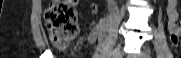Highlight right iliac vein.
Masks as SVG:
<instances>
[{
  "mask_svg": "<svg viewBox=\"0 0 181 58\" xmlns=\"http://www.w3.org/2000/svg\"><path fill=\"white\" fill-rule=\"evenodd\" d=\"M122 56L121 45H117L113 51V58H120Z\"/></svg>",
  "mask_w": 181,
  "mask_h": 58,
  "instance_id": "right-iliac-vein-1",
  "label": "right iliac vein"
}]
</instances>
